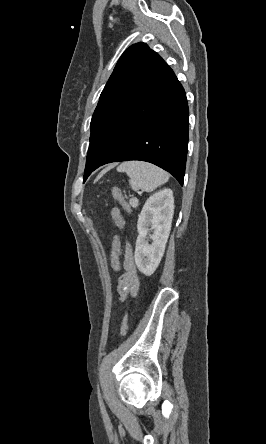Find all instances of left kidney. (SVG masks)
<instances>
[{
  "label": "left kidney",
  "instance_id": "obj_1",
  "mask_svg": "<svg viewBox=\"0 0 266 444\" xmlns=\"http://www.w3.org/2000/svg\"><path fill=\"white\" fill-rule=\"evenodd\" d=\"M174 213L171 189H163L150 196L138 218V237L135 263L140 272L152 275L157 269L166 247ZM152 231V234L149 232ZM149 234V235H148ZM149 239L152 243L149 244Z\"/></svg>",
  "mask_w": 266,
  "mask_h": 444
}]
</instances>
